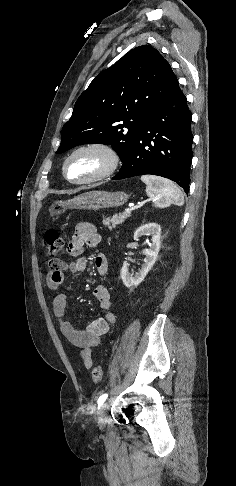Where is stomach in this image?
<instances>
[{
  "label": "stomach",
  "instance_id": "obj_1",
  "mask_svg": "<svg viewBox=\"0 0 236 486\" xmlns=\"http://www.w3.org/2000/svg\"><path fill=\"white\" fill-rule=\"evenodd\" d=\"M129 195L124 192L89 191L68 201L53 202L48 211L50 217L59 216L67 209L97 211L99 209L119 207L127 202Z\"/></svg>",
  "mask_w": 236,
  "mask_h": 486
}]
</instances>
